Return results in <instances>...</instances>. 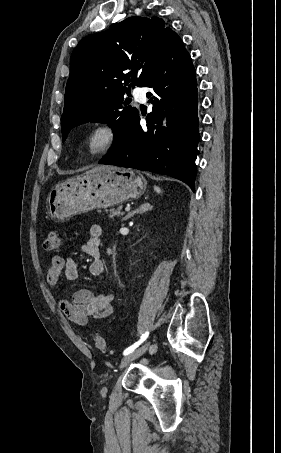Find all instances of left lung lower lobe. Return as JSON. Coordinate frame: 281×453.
I'll return each instance as SVG.
<instances>
[{
	"label": "left lung lower lobe",
	"instance_id": "1",
	"mask_svg": "<svg viewBox=\"0 0 281 453\" xmlns=\"http://www.w3.org/2000/svg\"><path fill=\"white\" fill-rule=\"evenodd\" d=\"M145 87L153 103L147 128L137 117L122 140L99 163L169 175L194 190L197 146L200 139L197 116L195 69L183 42L176 36L164 59ZM167 112V128L161 121Z\"/></svg>",
	"mask_w": 281,
	"mask_h": 453
}]
</instances>
